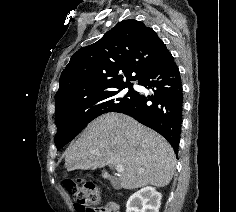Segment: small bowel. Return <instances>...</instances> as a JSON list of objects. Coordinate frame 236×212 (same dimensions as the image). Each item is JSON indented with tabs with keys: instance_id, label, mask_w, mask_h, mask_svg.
Returning a JSON list of instances; mask_svg holds the SVG:
<instances>
[{
	"instance_id": "obj_1",
	"label": "small bowel",
	"mask_w": 236,
	"mask_h": 212,
	"mask_svg": "<svg viewBox=\"0 0 236 212\" xmlns=\"http://www.w3.org/2000/svg\"><path fill=\"white\" fill-rule=\"evenodd\" d=\"M102 212H120V205L116 202H111L102 209Z\"/></svg>"
}]
</instances>
